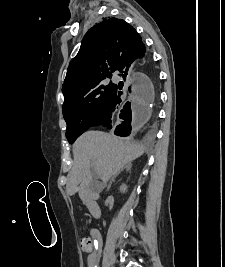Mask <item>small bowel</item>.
I'll use <instances>...</instances> for the list:
<instances>
[{
    "label": "small bowel",
    "mask_w": 225,
    "mask_h": 267,
    "mask_svg": "<svg viewBox=\"0 0 225 267\" xmlns=\"http://www.w3.org/2000/svg\"><path fill=\"white\" fill-rule=\"evenodd\" d=\"M92 237L95 240V246H93V249L88 252V258H87V262H88V267H95V264L97 263L100 253L98 251V244L101 241V236L100 233L96 230L92 231Z\"/></svg>",
    "instance_id": "obj_1"
}]
</instances>
